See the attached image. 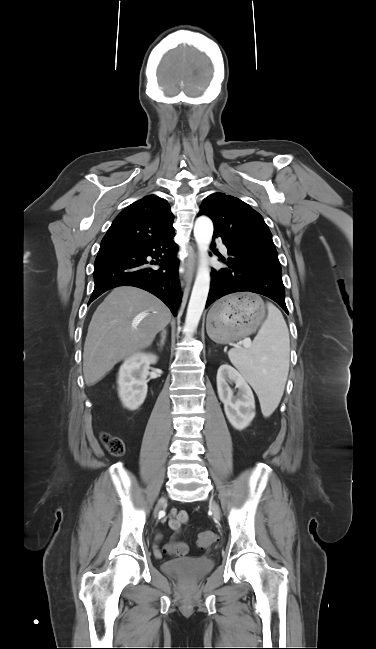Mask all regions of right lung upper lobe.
I'll list each match as a JSON object with an SVG mask.
<instances>
[{"mask_svg":"<svg viewBox=\"0 0 376 649\" xmlns=\"http://www.w3.org/2000/svg\"><path fill=\"white\" fill-rule=\"evenodd\" d=\"M174 216L168 202L148 195L123 209L102 239L98 254L135 247L169 235Z\"/></svg>","mask_w":376,"mask_h":649,"instance_id":"1","label":"right lung upper lobe"}]
</instances>
